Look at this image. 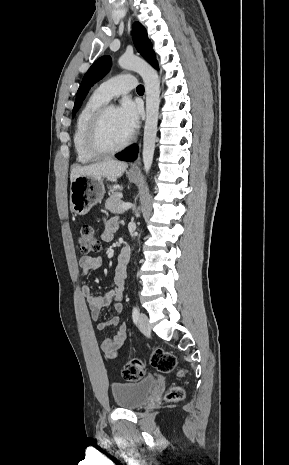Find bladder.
<instances>
[{"label":"bladder","mask_w":289,"mask_h":465,"mask_svg":"<svg viewBox=\"0 0 289 465\" xmlns=\"http://www.w3.org/2000/svg\"><path fill=\"white\" fill-rule=\"evenodd\" d=\"M156 385V378L150 376L137 382L113 383L111 392L119 408L137 409L147 403Z\"/></svg>","instance_id":"31cf9c89"}]
</instances>
